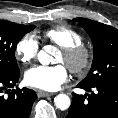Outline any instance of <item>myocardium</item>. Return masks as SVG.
Returning <instances> with one entry per match:
<instances>
[{
	"label": "myocardium",
	"mask_w": 118,
	"mask_h": 118,
	"mask_svg": "<svg viewBox=\"0 0 118 118\" xmlns=\"http://www.w3.org/2000/svg\"><path fill=\"white\" fill-rule=\"evenodd\" d=\"M64 63L69 70L77 75L85 74L92 65L93 53L83 44L61 47Z\"/></svg>",
	"instance_id": "obj_1"
}]
</instances>
